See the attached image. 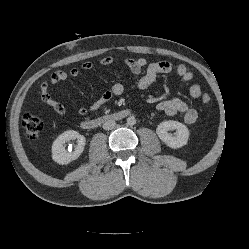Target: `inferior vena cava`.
<instances>
[{
  "instance_id": "inferior-vena-cava-1",
  "label": "inferior vena cava",
  "mask_w": 249,
  "mask_h": 249,
  "mask_svg": "<svg viewBox=\"0 0 249 249\" xmlns=\"http://www.w3.org/2000/svg\"><path fill=\"white\" fill-rule=\"evenodd\" d=\"M116 122L112 119H108L103 123V129L105 130H111L115 127Z\"/></svg>"
}]
</instances>
